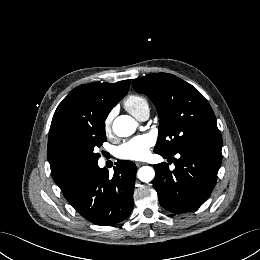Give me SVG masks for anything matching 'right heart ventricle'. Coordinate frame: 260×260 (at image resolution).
Masks as SVG:
<instances>
[{
    "label": "right heart ventricle",
    "mask_w": 260,
    "mask_h": 260,
    "mask_svg": "<svg viewBox=\"0 0 260 260\" xmlns=\"http://www.w3.org/2000/svg\"><path fill=\"white\" fill-rule=\"evenodd\" d=\"M124 107L128 112L137 117L143 108L149 107V103L145 97L138 94H132L126 98Z\"/></svg>",
    "instance_id": "e07e8e85"
}]
</instances>
